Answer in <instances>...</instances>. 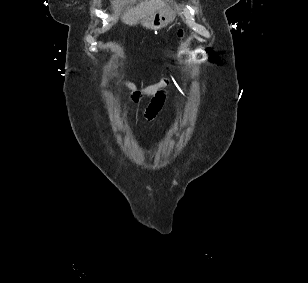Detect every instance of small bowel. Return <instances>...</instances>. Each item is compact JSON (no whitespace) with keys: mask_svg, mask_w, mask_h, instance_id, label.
<instances>
[{"mask_svg":"<svg viewBox=\"0 0 308 283\" xmlns=\"http://www.w3.org/2000/svg\"><path fill=\"white\" fill-rule=\"evenodd\" d=\"M119 83L128 91L127 98L130 103L137 104L145 98L151 99L144 114L146 120L152 121L157 117L166 95V83L164 81L144 87H139L129 80H121Z\"/></svg>","mask_w":308,"mask_h":283,"instance_id":"c3829d8e","label":"small bowel"}]
</instances>
